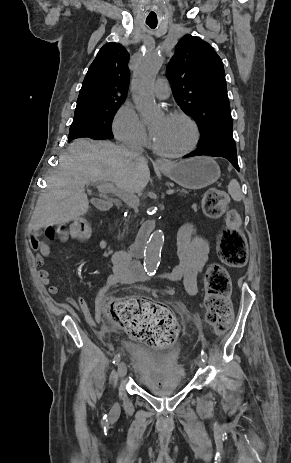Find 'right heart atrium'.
Here are the masks:
<instances>
[{
  "mask_svg": "<svg viewBox=\"0 0 291 463\" xmlns=\"http://www.w3.org/2000/svg\"><path fill=\"white\" fill-rule=\"evenodd\" d=\"M113 133L122 143L132 146H144L148 136L144 123L131 104H123L113 119Z\"/></svg>",
  "mask_w": 291,
  "mask_h": 463,
  "instance_id": "1",
  "label": "right heart atrium"
}]
</instances>
